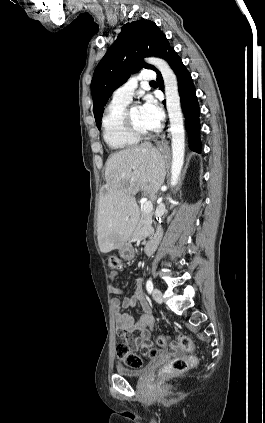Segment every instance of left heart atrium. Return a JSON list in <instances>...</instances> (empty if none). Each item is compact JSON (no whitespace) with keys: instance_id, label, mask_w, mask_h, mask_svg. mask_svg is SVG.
I'll list each match as a JSON object with an SVG mask.
<instances>
[{"instance_id":"left-heart-atrium-1","label":"left heart atrium","mask_w":265,"mask_h":423,"mask_svg":"<svg viewBox=\"0 0 265 423\" xmlns=\"http://www.w3.org/2000/svg\"><path fill=\"white\" fill-rule=\"evenodd\" d=\"M145 120L152 128L158 127L160 124L163 112L157 102L152 98H147L144 104L140 107Z\"/></svg>"}]
</instances>
